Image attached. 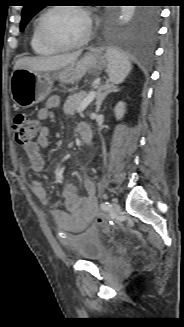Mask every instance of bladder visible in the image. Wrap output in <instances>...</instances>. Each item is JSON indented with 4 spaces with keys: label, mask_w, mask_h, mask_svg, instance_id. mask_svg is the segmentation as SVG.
I'll return each mask as SVG.
<instances>
[{
    "label": "bladder",
    "mask_w": 184,
    "mask_h": 327,
    "mask_svg": "<svg viewBox=\"0 0 184 327\" xmlns=\"http://www.w3.org/2000/svg\"><path fill=\"white\" fill-rule=\"evenodd\" d=\"M71 250L82 260L92 263H103L109 255L102 236L93 230L76 235Z\"/></svg>",
    "instance_id": "1"
}]
</instances>
